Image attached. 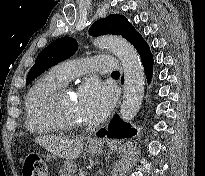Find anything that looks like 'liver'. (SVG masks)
<instances>
[{
  "mask_svg": "<svg viewBox=\"0 0 205 176\" xmlns=\"http://www.w3.org/2000/svg\"><path fill=\"white\" fill-rule=\"evenodd\" d=\"M35 141L48 151L67 160L78 158L84 146V138L70 140L56 136H39Z\"/></svg>",
  "mask_w": 205,
  "mask_h": 176,
  "instance_id": "obj_1",
  "label": "liver"
}]
</instances>
